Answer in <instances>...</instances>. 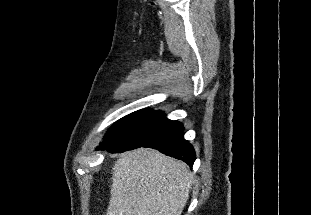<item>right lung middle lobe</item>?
<instances>
[{"label": "right lung middle lobe", "instance_id": "right-lung-middle-lobe-1", "mask_svg": "<svg viewBox=\"0 0 311 215\" xmlns=\"http://www.w3.org/2000/svg\"><path fill=\"white\" fill-rule=\"evenodd\" d=\"M152 111L153 110L151 109H145L131 113L121 118L110 128L103 140V143H100V146L97 147V150H101L121 140Z\"/></svg>", "mask_w": 311, "mask_h": 215}]
</instances>
